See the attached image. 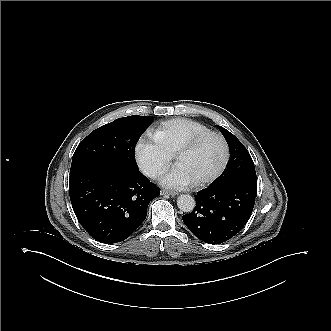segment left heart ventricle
Listing matches in <instances>:
<instances>
[{
  "mask_svg": "<svg viewBox=\"0 0 331 331\" xmlns=\"http://www.w3.org/2000/svg\"><path fill=\"white\" fill-rule=\"evenodd\" d=\"M221 160L222 146L220 141L215 137H209L186 153L179 166L193 180H198L210 176L218 168Z\"/></svg>",
  "mask_w": 331,
  "mask_h": 331,
  "instance_id": "left-heart-ventricle-1",
  "label": "left heart ventricle"
}]
</instances>
